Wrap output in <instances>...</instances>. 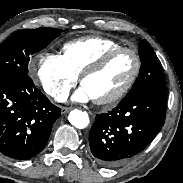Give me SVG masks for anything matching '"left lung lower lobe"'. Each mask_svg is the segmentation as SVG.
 I'll list each match as a JSON object with an SVG mask.
<instances>
[{
    "label": "left lung lower lobe",
    "mask_w": 183,
    "mask_h": 183,
    "mask_svg": "<svg viewBox=\"0 0 183 183\" xmlns=\"http://www.w3.org/2000/svg\"><path fill=\"white\" fill-rule=\"evenodd\" d=\"M166 91L144 90L126 96L112 111L96 115L89 134L94 160L120 165L143 151L165 121Z\"/></svg>",
    "instance_id": "obj_1"
}]
</instances>
